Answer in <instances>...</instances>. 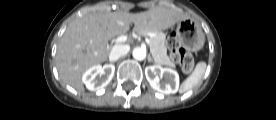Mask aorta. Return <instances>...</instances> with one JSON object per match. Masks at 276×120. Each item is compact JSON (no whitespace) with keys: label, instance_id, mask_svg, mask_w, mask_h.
<instances>
[{"label":"aorta","instance_id":"aorta-1","mask_svg":"<svg viewBox=\"0 0 276 120\" xmlns=\"http://www.w3.org/2000/svg\"><path fill=\"white\" fill-rule=\"evenodd\" d=\"M133 57L136 60H144L146 58V50L141 47H137L133 50Z\"/></svg>","mask_w":276,"mask_h":120}]
</instances>
